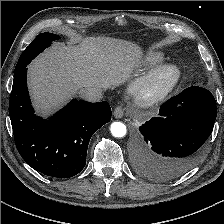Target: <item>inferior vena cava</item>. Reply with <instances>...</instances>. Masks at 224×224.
Instances as JSON below:
<instances>
[{"label":"inferior vena cava","mask_w":224,"mask_h":224,"mask_svg":"<svg viewBox=\"0 0 224 224\" xmlns=\"http://www.w3.org/2000/svg\"><path fill=\"white\" fill-rule=\"evenodd\" d=\"M81 98L89 102H97L102 97V91L96 87L85 88L81 91Z\"/></svg>","instance_id":"602c4592"}]
</instances>
